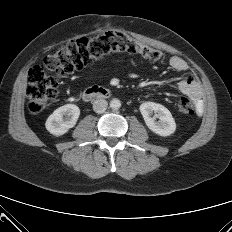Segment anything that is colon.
<instances>
[{
    "label": "colon",
    "mask_w": 232,
    "mask_h": 232,
    "mask_svg": "<svg viewBox=\"0 0 232 232\" xmlns=\"http://www.w3.org/2000/svg\"><path fill=\"white\" fill-rule=\"evenodd\" d=\"M117 52L139 53L153 62L163 58L160 50L120 31H109L100 36L70 41L47 55L42 64L29 71L26 95L30 112L39 113L57 95L58 82L48 72L60 76L71 74ZM178 110L183 115H192L194 106L190 99L182 97L178 102Z\"/></svg>",
    "instance_id": "1"
}]
</instances>
